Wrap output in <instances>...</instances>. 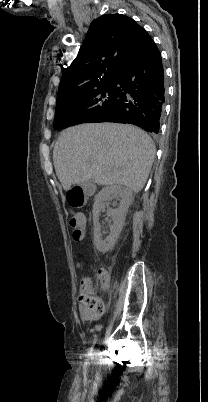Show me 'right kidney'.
<instances>
[{"label": "right kidney", "mask_w": 208, "mask_h": 402, "mask_svg": "<svg viewBox=\"0 0 208 402\" xmlns=\"http://www.w3.org/2000/svg\"><path fill=\"white\" fill-rule=\"evenodd\" d=\"M118 208L112 210V208H108L110 200H119ZM133 200L132 192L130 188H125V186H105L100 190L99 194L95 196V202L93 206V222H94V244L99 250V252H108L113 248L119 234H121V230L123 228L124 218L126 216V212L131 206ZM105 208L107 210V216L112 218L114 224L111 226L110 236H107L105 242H102L100 236L101 228L99 224V216L100 212H105Z\"/></svg>", "instance_id": "ca27d5eb"}]
</instances>
